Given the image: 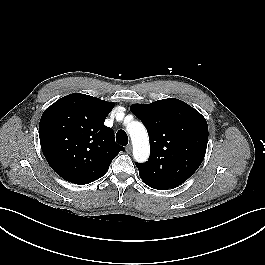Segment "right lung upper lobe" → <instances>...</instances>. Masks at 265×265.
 <instances>
[{
    "label": "right lung upper lobe",
    "mask_w": 265,
    "mask_h": 265,
    "mask_svg": "<svg viewBox=\"0 0 265 265\" xmlns=\"http://www.w3.org/2000/svg\"><path fill=\"white\" fill-rule=\"evenodd\" d=\"M114 103L73 93L48 107L40 120L39 138L50 167L63 179L88 184L102 177L124 148L104 121Z\"/></svg>",
    "instance_id": "obj_1"
}]
</instances>
